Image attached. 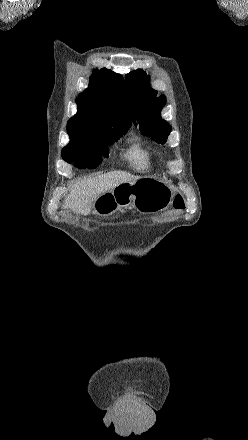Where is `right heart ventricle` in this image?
<instances>
[{
  "instance_id": "obj_1",
  "label": "right heart ventricle",
  "mask_w": 248,
  "mask_h": 440,
  "mask_svg": "<svg viewBox=\"0 0 248 440\" xmlns=\"http://www.w3.org/2000/svg\"><path fill=\"white\" fill-rule=\"evenodd\" d=\"M125 159L133 169L139 172L148 171L151 167L149 153L138 144H134L128 149L125 153Z\"/></svg>"
}]
</instances>
